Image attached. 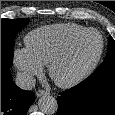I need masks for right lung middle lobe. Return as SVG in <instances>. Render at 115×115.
Returning a JSON list of instances; mask_svg holds the SVG:
<instances>
[{"label":"right lung middle lobe","instance_id":"obj_1","mask_svg":"<svg viewBox=\"0 0 115 115\" xmlns=\"http://www.w3.org/2000/svg\"><path fill=\"white\" fill-rule=\"evenodd\" d=\"M28 21L29 18L1 19V67H11L16 33L25 27Z\"/></svg>","mask_w":115,"mask_h":115}]
</instances>
